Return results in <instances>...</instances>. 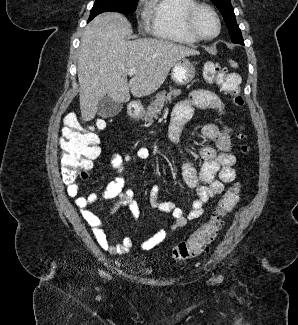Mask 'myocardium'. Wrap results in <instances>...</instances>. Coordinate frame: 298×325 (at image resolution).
I'll return each instance as SVG.
<instances>
[{"label": "myocardium", "instance_id": "myocardium-1", "mask_svg": "<svg viewBox=\"0 0 298 325\" xmlns=\"http://www.w3.org/2000/svg\"><path fill=\"white\" fill-rule=\"evenodd\" d=\"M200 10H205L207 11L211 17L213 18L214 22H215V33L213 34V36L209 37V38H203L200 36V34L196 31V29L193 26V19L196 16V14L198 13V11ZM181 22V26L182 29L184 30V32L186 34H188L189 36L193 37L197 42L199 43H208L211 42L213 40H215L219 34H220V23H219V19L217 17V15L215 14V12L207 5L205 4H200V3H195L192 6H190L188 9H186L180 19Z\"/></svg>", "mask_w": 298, "mask_h": 325}]
</instances>
